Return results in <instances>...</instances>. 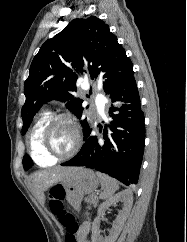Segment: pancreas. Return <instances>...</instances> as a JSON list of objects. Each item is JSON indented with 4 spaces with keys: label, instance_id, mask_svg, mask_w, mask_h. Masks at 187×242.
<instances>
[{
    "label": "pancreas",
    "instance_id": "1",
    "mask_svg": "<svg viewBox=\"0 0 187 242\" xmlns=\"http://www.w3.org/2000/svg\"><path fill=\"white\" fill-rule=\"evenodd\" d=\"M87 203L89 204L88 209H90V206L96 207L98 204V197L97 196H90L86 199Z\"/></svg>",
    "mask_w": 187,
    "mask_h": 242
}]
</instances>
